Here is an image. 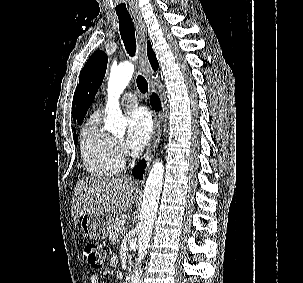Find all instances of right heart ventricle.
Here are the masks:
<instances>
[{
  "mask_svg": "<svg viewBox=\"0 0 303 283\" xmlns=\"http://www.w3.org/2000/svg\"><path fill=\"white\" fill-rule=\"evenodd\" d=\"M80 147L83 163L90 175L110 178L124 167V157L119 152L116 139L101 126L99 112L93 113L81 131Z\"/></svg>",
  "mask_w": 303,
  "mask_h": 283,
  "instance_id": "1",
  "label": "right heart ventricle"
}]
</instances>
